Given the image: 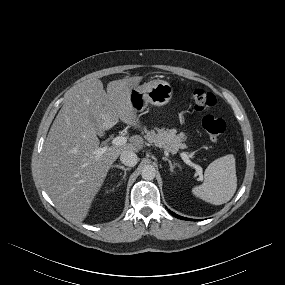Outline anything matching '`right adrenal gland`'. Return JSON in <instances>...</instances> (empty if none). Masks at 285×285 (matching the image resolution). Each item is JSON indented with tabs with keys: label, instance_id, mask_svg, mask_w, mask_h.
<instances>
[{
	"label": "right adrenal gland",
	"instance_id": "1",
	"mask_svg": "<svg viewBox=\"0 0 285 285\" xmlns=\"http://www.w3.org/2000/svg\"><path fill=\"white\" fill-rule=\"evenodd\" d=\"M114 167H115V168H118V169H121V170L124 171L123 179H125L126 172L129 171V170H131V168H125V167L122 166V165H115Z\"/></svg>",
	"mask_w": 285,
	"mask_h": 285
}]
</instances>
